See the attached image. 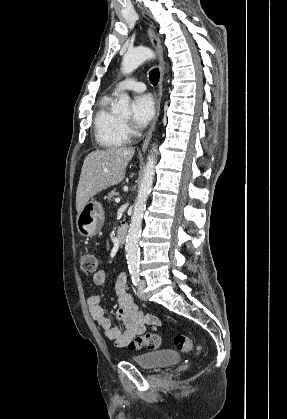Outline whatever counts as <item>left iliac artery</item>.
<instances>
[{"label":"left iliac artery","mask_w":287,"mask_h":419,"mask_svg":"<svg viewBox=\"0 0 287 419\" xmlns=\"http://www.w3.org/2000/svg\"><path fill=\"white\" fill-rule=\"evenodd\" d=\"M130 273H131V280H132L133 285L137 286L140 281L139 270H132L130 271Z\"/></svg>","instance_id":"44dca946"}]
</instances>
